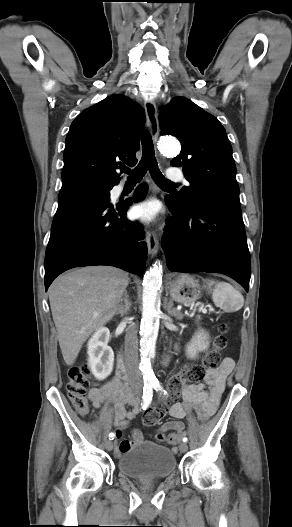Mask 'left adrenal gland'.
<instances>
[{
    "label": "left adrenal gland",
    "instance_id": "obj_1",
    "mask_svg": "<svg viewBox=\"0 0 292 527\" xmlns=\"http://www.w3.org/2000/svg\"><path fill=\"white\" fill-rule=\"evenodd\" d=\"M167 312L169 315L174 316L177 320H181L183 318V314L180 311H177L175 308H173V302L170 300L168 304L165 306Z\"/></svg>",
    "mask_w": 292,
    "mask_h": 527
}]
</instances>
